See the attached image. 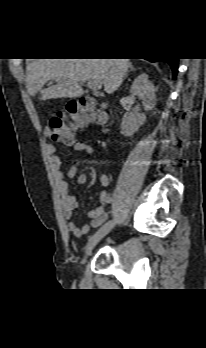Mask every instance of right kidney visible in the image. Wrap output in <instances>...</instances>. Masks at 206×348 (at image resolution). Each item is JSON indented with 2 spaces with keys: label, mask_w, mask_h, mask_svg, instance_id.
I'll use <instances>...</instances> for the list:
<instances>
[{
  "label": "right kidney",
  "mask_w": 206,
  "mask_h": 348,
  "mask_svg": "<svg viewBox=\"0 0 206 348\" xmlns=\"http://www.w3.org/2000/svg\"><path fill=\"white\" fill-rule=\"evenodd\" d=\"M131 93L142 100L146 111L152 110L156 105L155 87L148 80V75L143 73L139 75L131 86ZM146 122V115L137 111L126 112L122 118L121 133L130 137Z\"/></svg>",
  "instance_id": "right-kidney-1"
}]
</instances>
